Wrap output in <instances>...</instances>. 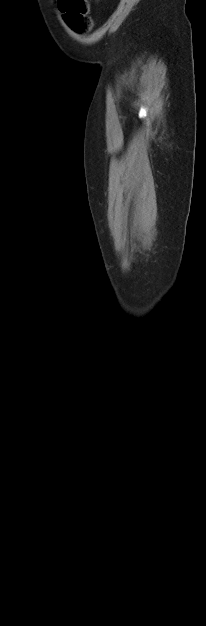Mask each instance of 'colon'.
<instances>
[{"label": "colon", "mask_w": 206, "mask_h": 626, "mask_svg": "<svg viewBox=\"0 0 206 626\" xmlns=\"http://www.w3.org/2000/svg\"><path fill=\"white\" fill-rule=\"evenodd\" d=\"M58 6L66 23L73 31L84 33L91 29L89 0H58Z\"/></svg>", "instance_id": "obj_1"}]
</instances>
